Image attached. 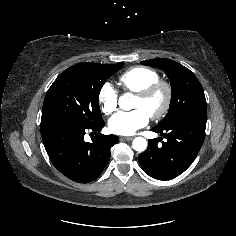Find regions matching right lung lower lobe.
<instances>
[{
	"instance_id": "obj_1",
	"label": "right lung lower lobe",
	"mask_w": 236,
	"mask_h": 236,
	"mask_svg": "<svg viewBox=\"0 0 236 236\" xmlns=\"http://www.w3.org/2000/svg\"><path fill=\"white\" fill-rule=\"evenodd\" d=\"M103 127L104 121L94 125L63 121L41 129L46 152L56 169L76 182L95 180L110 159V148L119 140L118 136L98 133ZM88 130L96 134L92 143L84 141Z\"/></svg>"
}]
</instances>
